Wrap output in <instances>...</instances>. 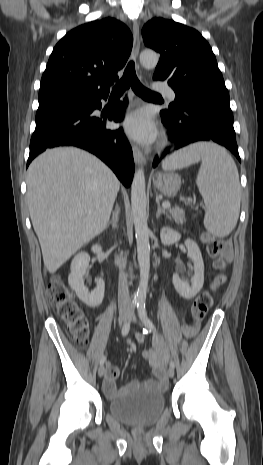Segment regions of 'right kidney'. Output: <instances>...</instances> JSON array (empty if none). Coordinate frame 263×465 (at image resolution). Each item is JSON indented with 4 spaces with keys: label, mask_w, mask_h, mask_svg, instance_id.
<instances>
[{
    "label": "right kidney",
    "mask_w": 263,
    "mask_h": 465,
    "mask_svg": "<svg viewBox=\"0 0 263 465\" xmlns=\"http://www.w3.org/2000/svg\"><path fill=\"white\" fill-rule=\"evenodd\" d=\"M93 253H100L101 246L94 245L91 248ZM90 256L86 252H79L71 262V273L68 276L69 286L76 292L77 296L88 306L96 307L102 303L104 298L105 284L103 279H99L96 288L89 292L84 285L83 276L89 266Z\"/></svg>",
    "instance_id": "ca27d5eb"
}]
</instances>
